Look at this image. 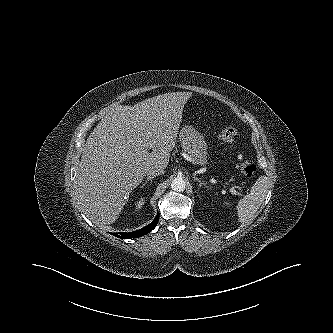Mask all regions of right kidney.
<instances>
[{
    "instance_id": "obj_1",
    "label": "right kidney",
    "mask_w": 333,
    "mask_h": 333,
    "mask_svg": "<svg viewBox=\"0 0 333 333\" xmlns=\"http://www.w3.org/2000/svg\"><path fill=\"white\" fill-rule=\"evenodd\" d=\"M144 202H145V200H144V198H141L138 202H137V208H141L142 207V205H144Z\"/></svg>"
}]
</instances>
